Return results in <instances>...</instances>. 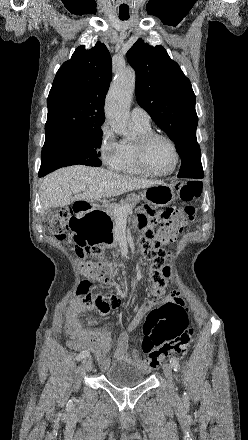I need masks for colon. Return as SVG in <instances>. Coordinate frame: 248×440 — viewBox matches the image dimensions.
<instances>
[{"label": "colon", "mask_w": 248, "mask_h": 440, "mask_svg": "<svg viewBox=\"0 0 248 440\" xmlns=\"http://www.w3.org/2000/svg\"><path fill=\"white\" fill-rule=\"evenodd\" d=\"M181 200L185 203L180 213L165 209L158 214L149 213L151 221H159L157 231L148 225H142L139 214L137 224L143 232L141 245L150 259L153 257H169L165 247L181 232L183 227L194 218L195 207L192 201L201 194L202 186L198 181H187L178 186ZM79 206L57 209L49 221V229L59 240H64L70 231L71 218L79 217ZM75 254L79 258L78 269L82 275L101 282H108L113 275V266L107 260L105 250L101 246H85L84 241H76ZM171 281V280H170ZM170 284V282H169ZM78 305L83 309L98 306L102 296L113 298L112 294H101L91 289L88 280L82 281L77 287ZM194 329L190 325L184 307L176 302L163 303L153 308L147 315L141 342L142 351L147 355L151 366L156 367L160 361L171 354H184L192 339Z\"/></svg>", "instance_id": "colon-1"}]
</instances>
